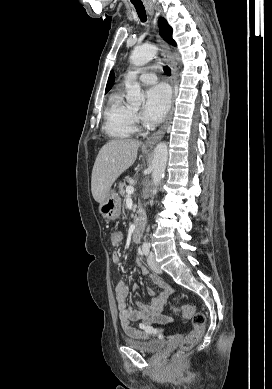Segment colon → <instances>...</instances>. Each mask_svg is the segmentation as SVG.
Returning <instances> with one entry per match:
<instances>
[{"mask_svg": "<svg viewBox=\"0 0 272 389\" xmlns=\"http://www.w3.org/2000/svg\"><path fill=\"white\" fill-rule=\"evenodd\" d=\"M110 240L114 246L120 245L122 234L119 231L110 232ZM174 311L180 313L185 319H191L193 330L184 338L180 346V354L189 352L202 338L205 331V316L203 313L195 312L191 305H181L174 307Z\"/></svg>", "mask_w": 272, "mask_h": 389, "instance_id": "1", "label": "colon"}]
</instances>
